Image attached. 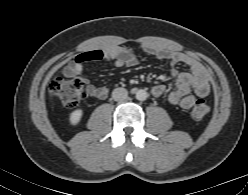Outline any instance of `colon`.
Wrapping results in <instances>:
<instances>
[{
  "label": "colon",
  "mask_w": 248,
  "mask_h": 195,
  "mask_svg": "<svg viewBox=\"0 0 248 195\" xmlns=\"http://www.w3.org/2000/svg\"><path fill=\"white\" fill-rule=\"evenodd\" d=\"M51 93L63 106L74 107L86 96V84L79 78L57 77L50 84ZM210 107L203 99L194 102L192 116L201 119L209 113Z\"/></svg>",
  "instance_id": "obj_1"
}]
</instances>
